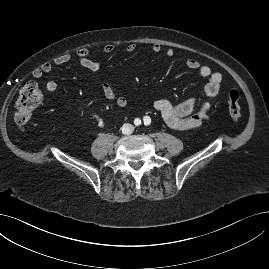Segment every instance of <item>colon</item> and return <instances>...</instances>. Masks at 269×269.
<instances>
[{
	"label": "colon",
	"mask_w": 269,
	"mask_h": 269,
	"mask_svg": "<svg viewBox=\"0 0 269 269\" xmlns=\"http://www.w3.org/2000/svg\"><path fill=\"white\" fill-rule=\"evenodd\" d=\"M44 95L37 83L30 81L23 84L14 103L13 119L18 127L26 126L32 117V113L42 104ZM228 112L232 119L237 120L241 116L239 93L235 88L227 91Z\"/></svg>",
	"instance_id": "1"
}]
</instances>
